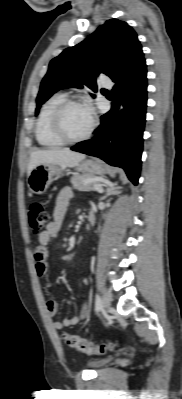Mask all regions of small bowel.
I'll return each instance as SVG.
<instances>
[{
  "label": "small bowel",
  "instance_id": "1",
  "mask_svg": "<svg viewBox=\"0 0 182 399\" xmlns=\"http://www.w3.org/2000/svg\"><path fill=\"white\" fill-rule=\"evenodd\" d=\"M74 196V191L70 187L63 188L57 195L52 212V220L49 222L46 230L38 235V246L34 251L35 269L40 277H44L49 271V245L58 235L65 219L66 211L70 200ZM84 284H88L85 279ZM48 314L55 318L58 313V305L55 300H48L46 303ZM88 314L87 304L84 303L78 315L65 318L62 321L53 320L52 325L55 329L61 330L83 321Z\"/></svg>",
  "mask_w": 182,
  "mask_h": 399
}]
</instances>
